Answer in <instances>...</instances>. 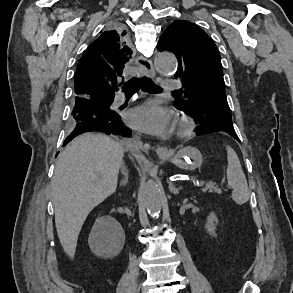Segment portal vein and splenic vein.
<instances>
[{"label": "portal vein and splenic vein", "instance_id": "1", "mask_svg": "<svg viewBox=\"0 0 293 293\" xmlns=\"http://www.w3.org/2000/svg\"><path fill=\"white\" fill-rule=\"evenodd\" d=\"M201 184H202V183H199V182L196 183L197 186H200Z\"/></svg>", "mask_w": 293, "mask_h": 293}]
</instances>
